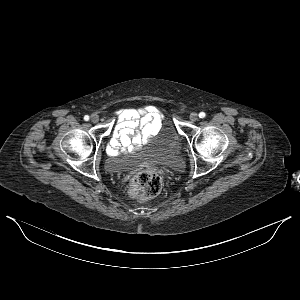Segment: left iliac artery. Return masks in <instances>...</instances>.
Segmentation results:
<instances>
[{"label": "left iliac artery", "instance_id": "left-iliac-artery-1", "mask_svg": "<svg viewBox=\"0 0 300 300\" xmlns=\"http://www.w3.org/2000/svg\"><path fill=\"white\" fill-rule=\"evenodd\" d=\"M205 116H206V114H205L204 112H200V113H199V117H200V118H204Z\"/></svg>", "mask_w": 300, "mask_h": 300}]
</instances>
